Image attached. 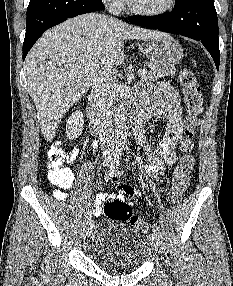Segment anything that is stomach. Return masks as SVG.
Here are the masks:
<instances>
[{"mask_svg":"<svg viewBox=\"0 0 233 286\" xmlns=\"http://www.w3.org/2000/svg\"><path fill=\"white\" fill-rule=\"evenodd\" d=\"M150 63L163 68H173L183 57L181 45L168 34L139 45Z\"/></svg>","mask_w":233,"mask_h":286,"instance_id":"0dacf381","label":"stomach"}]
</instances>
